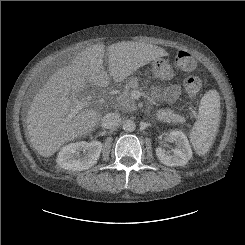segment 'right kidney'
I'll return each instance as SVG.
<instances>
[{
    "label": "right kidney",
    "instance_id": "obj_1",
    "mask_svg": "<svg viewBox=\"0 0 245 245\" xmlns=\"http://www.w3.org/2000/svg\"><path fill=\"white\" fill-rule=\"evenodd\" d=\"M103 144L99 141H80L64 146L57 157V164L72 171H82L94 166L99 159Z\"/></svg>",
    "mask_w": 245,
    "mask_h": 245
}]
</instances>
